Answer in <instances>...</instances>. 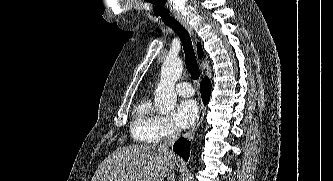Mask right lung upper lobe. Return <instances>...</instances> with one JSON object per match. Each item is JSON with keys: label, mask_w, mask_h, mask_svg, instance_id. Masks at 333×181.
Segmentation results:
<instances>
[{"label": "right lung upper lobe", "mask_w": 333, "mask_h": 181, "mask_svg": "<svg viewBox=\"0 0 333 181\" xmlns=\"http://www.w3.org/2000/svg\"><path fill=\"white\" fill-rule=\"evenodd\" d=\"M198 56L201 58L203 56V50L200 43H197Z\"/></svg>", "instance_id": "right-lung-upper-lobe-1"}]
</instances>
